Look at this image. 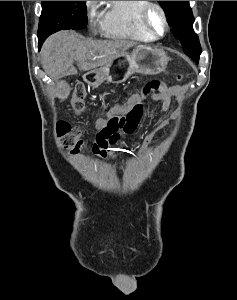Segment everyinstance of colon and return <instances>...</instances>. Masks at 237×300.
I'll return each mask as SVG.
<instances>
[{"mask_svg":"<svg viewBox=\"0 0 237 300\" xmlns=\"http://www.w3.org/2000/svg\"><path fill=\"white\" fill-rule=\"evenodd\" d=\"M166 89L165 83L161 80L155 79L147 82L139 91L140 98L132 104L127 113L111 117L106 125L97 132L93 149L108 151L122 136L134 133L143 116V102L149 99H157ZM85 97L86 89L84 85L77 84L71 100L75 114L80 115L84 111ZM57 136L62 146L71 149L72 152H79L84 146L79 129L68 123L58 124Z\"/></svg>","mask_w":237,"mask_h":300,"instance_id":"1","label":"colon"}]
</instances>
